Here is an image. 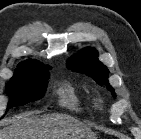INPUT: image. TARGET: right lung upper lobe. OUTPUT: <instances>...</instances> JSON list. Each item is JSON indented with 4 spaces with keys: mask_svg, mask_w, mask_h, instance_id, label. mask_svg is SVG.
<instances>
[{
    "mask_svg": "<svg viewBox=\"0 0 141 139\" xmlns=\"http://www.w3.org/2000/svg\"><path fill=\"white\" fill-rule=\"evenodd\" d=\"M37 67H45V65L37 60H26L24 62H21L16 70L37 68Z\"/></svg>",
    "mask_w": 141,
    "mask_h": 139,
    "instance_id": "cb5924a9",
    "label": "right lung upper lobe"
}]
</instances>
